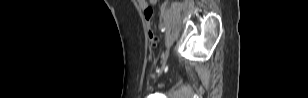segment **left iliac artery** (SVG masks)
<instances>
[{"label": "left iliac artery", "instance_id": "obj_1", "mask_svg": "<svg viewBox=\"0 0 308 98\" xmlns=\"http://www.w3.org/2000/svg\"><path fill=\"white\" fill-rule=\"evenodd\" d=\"M158 30L164 32L165 31V25L164 24H159L158 25Z\"/></svg>", "mask_w": 308, "mask_h": 98}]
</instances>
